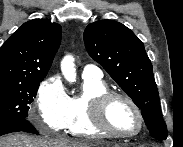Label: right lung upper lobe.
Wrapping results in <instances>:
<instances>
[{
  "label": "right lung upper lobe",
  "mask_w": 183,
  "mask_h": 147,
  "mask_svg": "<svg viewBox=\"0 0 183 147\" xmlns=\"http://www.w3.org/2000/svg\"><path fill=\"white\" fill-rule=\"evenodd\" d=\"M62 28L48 19L24 23L0 48V83L46 76L61 41Z\"/></svg>",
  "instance_id": "right-lung-upper-lobe-1"
}]
</instances>
